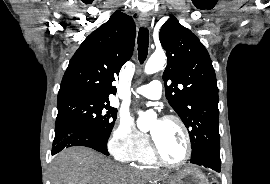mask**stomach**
I'll list each match as a JSON object with an SVG mask.
<instances>
[{
	"instance_id": "obj_1",
	"label": "stomach",
	"mask_w": 270,
	"mask_h": 184,
	"mask_svg": "<svg viewBox=\"0 0 270 184\" xmlns=\"http://www.w3.org/2000/svg\"><path fill=\"white\" fill-rule=\"evenodd\" d=\"M169 184H208L204 174L197 168L186 167L168 178Z\"/></svg>"
}]
</instances>
